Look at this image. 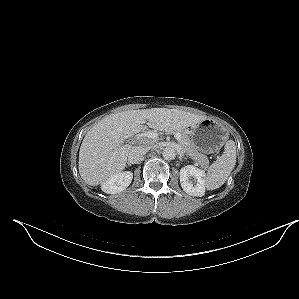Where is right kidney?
<instances>
[{
  "mask_svg": "<svg viewBox=\"0 0 299 299\" xmlns=\"http://www.w3.org/2000/svg\"><path fill=\"white\" fill-rule=\"evenodd\" d=\"M132 178L133 173L130 171L117 173L102 183L101 190L107 194L122 192L130 185Z\"/></svg>",
  "mask_w": 299,
  "mask_h": 299,
  "instance_id": "ca27d5eb",
  "label": "right kidney"
}]
</instances>
